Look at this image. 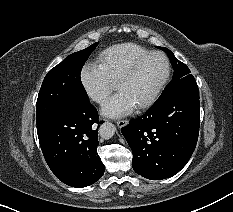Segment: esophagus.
Listing matches in <instances>:
<instances>
[{
	"label": "esophagus",
	"instance_id": "esophagus-1",
	"mask_svg": "<svg viewBox=\"0 0 233 212\" xmlns=\"http://www.w3.org/2000/svg\"><path fill=\"white\" fill-rule=\"evenodd\" d=\"M128 124V121L127 120H118L117 121V126L119 127V128H122V127H124L125 125H127Z\"/></svg>",
	"mask_w": 233,
	"mask_h": 212
}]
</instances>
